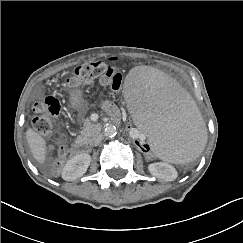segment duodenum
Here are the masks:
<instances>
[{"instance_id": "1", "label": "duodenum", "mask_w": 243, "mask_h": 243, "mask_svg": "<svg viewBox=\"0 0 243 243\" xmlns=\"http://www.w3.org/2000/svg\"><path fill=\"white\" fill-rule=\"evenodd\" d=\"M89 150L88 144L82 140L76 141L73 145V151L78 154L87 153Z\"/></svg>"}]
</instances>
